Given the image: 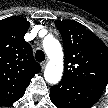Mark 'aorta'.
Returning <instances> with one entry per match:
<instances>
[{"label":"aorta","instance_id":"762f6f07","mask_svg":"<svg viewBox=\"0 0 108 108\" xmlns=\"http://www.w3.org/2000/svg\"><path fill=\"white\" fill-rule=\"evenodd\" d=\"M43 48L49 58L44 71V78L50 84H57L63 74V50L60 42L48 36L43 41Z\"/></svg>","mask_w":108,"mask_h":108}]
</instances>
